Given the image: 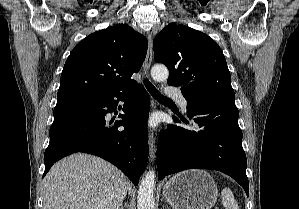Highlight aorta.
Wrapping results in <instances>:
<instances>
[{"instance_id":"762f6f07","label":"aorta","mask_w":299,"mask_h":209,"mask_svg":"<svg viewBox=\"0 0 299 209\" xmlns=\"http://www.w3.org/2000/svg\"><path fill=\"white\" fill-rule=\"evenodd\" d=\"M169 72L164 65H155L151 69V76L156 81H164ZM156 174L153 170L148 171L142 178L138 190V209H155L154 188Z\"/></svg>"}]
</instances>
